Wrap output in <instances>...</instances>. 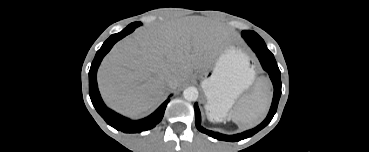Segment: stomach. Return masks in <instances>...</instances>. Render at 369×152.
<instances>
[{
    "instance_id": "1",
    "label": "stomach",
    "mask_w": 369,
    "mask_h": 152,
    "mask_svg": "<svg viewBox=\"0 0 369 152\" xmlns=\"http://www.w3.org/2000/svg\"><path fill=\"white\" fill-rule=\"evenodd\" d=\"M255 72L248 58L235 48L225 49L210 76L201 83L207 97L205 105L210 120L222 121L236 99L250 87Z\"/></svg>"
}]
</instances>
